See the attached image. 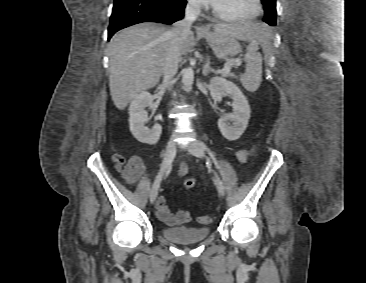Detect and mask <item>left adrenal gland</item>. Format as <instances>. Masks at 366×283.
<instances>
[{
	"instance_id": "obj_1",
	"label": "left adrenal gland",
	"mask_w": 366,
	"mask_h": 283,
	"mask_svg": "<svg viewBox=\"0 0 366 283\" xmlns=\"http://www.w3.org/2000/svg\"><path fill=\"white\" fill-rule=\"evenodd\" d=\"M202 73L205 77L208 76L210 73H216L215 70L210 67L209 59H207L205 65L203 66Z\"/></svg>"
}]
</instances>
